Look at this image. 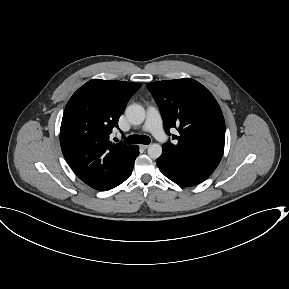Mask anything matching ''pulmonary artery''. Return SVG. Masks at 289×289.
Instances as JSON below:
<instances>
[{"mask_svg": "<svg viewBox=\"0 0 289 289\" xmlns=\"http://www.w3.org/2000/svg\"><path fill=\"white\" fill-rule=\"evenodd\" d=\"M142 130L152 133L160 141H164L166 139V134L162 127L161 115L156 107H147V118Z\"/></svg>", "mask_w": 289, "mask_h": 289, "instance_id": "pulmonary-artery-1", "label": "pulmonary artery"}]
</instances>
